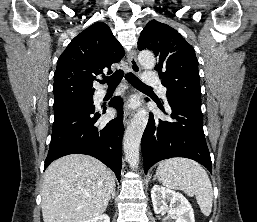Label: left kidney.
<instances>
[{
    "label": "left kidney",
    "mask_w": 257,
    "mask_h": 222,
    "mask_svg": "<svg viewBox=\"0 0 257 222\" xmlns=\"http://www.w3.org/2000/svg\"><path fill=\"white\" fill-rule=\"evenodd\" d=\"M151 199L156 214L170 212L175 216V222H195L193 208L181 193L154 185Z\"/></svg>",
    "instance_id": "1"
}]
</instances>
